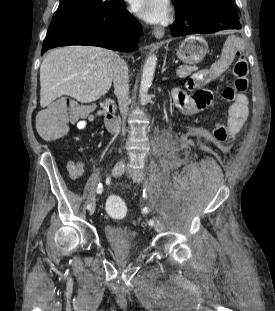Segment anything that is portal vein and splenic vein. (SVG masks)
Returning <instances> with one entry per match:
<instances>
[{
	"instance_id": "portal-vein-and-splenic-vein-1",
	"label": "portal vein and splenic vein",
	"mask_w": 275,
	"mask_h": 311,
	"mask_svg": "<svg viewBox=\"0 0 275 311\" xmlns=\"http://www.w3.org/2000/svg\"><path fill=\"white\" fill-rule=\"evenodd\" d=\"M180 71V69L176 70V72L178 73Z\"/></svg>"
}]
</instances>
